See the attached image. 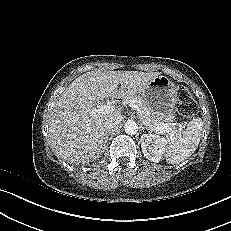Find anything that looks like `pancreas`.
Listing matches in <instances>:
<instances>
[{
	"label": "pancreas",
	"mask_w": 231,
	"mask_h": 231,
	"mask_svg": "<svg viewBox=\"0 0 231 231\" xmlns=\"http://www.w3.org/2000/svg\"><path fill=\"white\" fill-rule=\"evenodd\" d=\"M126 102H130V101H135V103L138 105L139 109H140V113L138 114L141 122L150 130L153 132H158L156 130V127L158 125H163V124H170L169 121H167L166 119L162 118L161 116L152 113L147 106L138 98L136 97H130L125 99ZM172 125V124H171ZM173 130L171 133H173L174 135H178L179 133H181V127L178 126L177 124L172 125Z\"/></svg>",
	"instance_id": "1"
}]
</instances>
